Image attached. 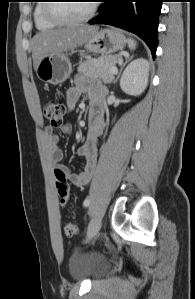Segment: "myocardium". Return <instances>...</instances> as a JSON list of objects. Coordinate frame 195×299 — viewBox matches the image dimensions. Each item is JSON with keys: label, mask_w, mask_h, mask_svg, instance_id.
Masks as SVG:
<instances>
[{"label": "myocardium", "mask_w": 195, "mask_h": 299, "mask_svg": "<svg viewBox=\"0 0 195 299\" xmlns=\"http://www.w3.org/2000/svg\"><path fill=\"white\" fill-rule=\"evenodd\" d=\"M49 2H52V1H49ZM55 4H57V3H46L44 6V14L49 21H51L57 25H76V24L88 22L95 16L97 9H98V4L94 1L91 4V8H90L89 12L85 16L80 17V18H65V17H61V16L57 15L53 11V7L55 6Z\"/></svg>", "instance_id": "obj_1"}]
</instances>
